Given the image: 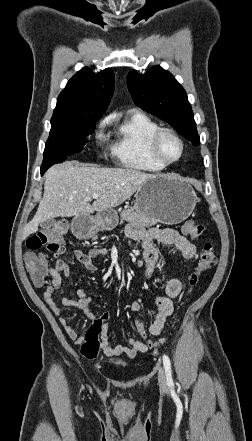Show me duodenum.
<instances>
[{
  "label": "duodenum",
  "mask_w": 252,
  "mask_h": 441,
  "mask_svg": "<svg viewBox=\"0 0 252 441\" xmlns=\"http://www.w3.org/2000/svg\"><path fill=\"white\" fill-rule=\"evenodd\" d=\"M74 234L80 239H87L92 234V222L87 219H77L73 223Z\"/></svg>",
  "instance_id": "410a0bca"
}]
</instances>
